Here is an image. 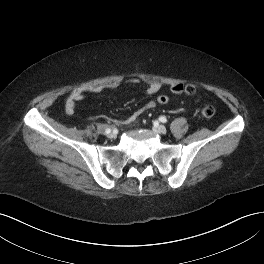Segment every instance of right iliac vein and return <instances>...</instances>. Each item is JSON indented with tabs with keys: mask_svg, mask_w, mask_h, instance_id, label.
Instances as JSON below:
<instances>
[{
	"mask_svg": "<svg viewBox=\"0 0 264 264\" xmlns=\"http://www.w3.org/2000/svg\"><path fill=\"white\" fill-rule=\"evenodd\" d=\"M109 138H113V137H115V133H113V132H110V133H108V135H107Z\"/></svg>",
	"mask_w": 264,
	"mask_h": 264,
	"instance_id": "63e3f726",
	"label": "right iliac vein"
}]
</instances>
